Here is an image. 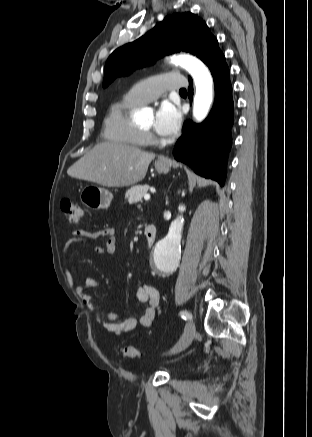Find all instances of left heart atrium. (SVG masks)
I'll return each instance as SVG.
<instances>
[{
  "label": "left heart atrium",
  "mask_w": 312,
  "mask_h": 437,
  "mask_svg": "<svg viewBox=\"0 0 312 437\" xmlns=\"http://www.w3.org/2000/svg\"><path fill=\"white\" fill-rule=\"evenodd\" d=\"M181 124L179 109L170 102H163L157 109L154 117L155 131L164 137H170L177 133Z\"/></svg>",
  "instance_id": "left-heart-atrium-1"
}]
</instances>
